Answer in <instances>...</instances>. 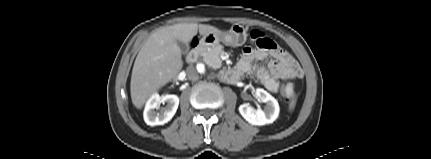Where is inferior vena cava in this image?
<instances>
[{"mask_svg": "<svg viewBox=\"0 0 431 159\" xmlns=\"http://www.w3.org/2000/svg\"><path fill=\"white\" fill-rule=\"evenodd\" d=\"M186 73L189 80L196 81L199 79V74L194 66H189Z\"/></svg>", "mask_w": 431, "mask_h": 159, "instance_id": "inferior-vena-cava-1", "label": "inferior vena cava"}]
</instances>
